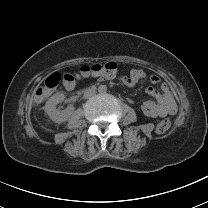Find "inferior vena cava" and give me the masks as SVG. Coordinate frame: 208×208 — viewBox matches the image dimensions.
I'll list each match as a JSON object with an SVG mask.
<instances>
[{"label": "inferior vena cava", "instance_id": "obj_1", "mask_svg": "<svg viewBox=\"0 0 208 208\" xmlns=\"http://www.w3.org/2000/svg\"><path fill=\"white\" fill-rule=\"evenodd\" d=\"M96 94V91L92 88H86L84 91H83V97L85 99H90L92 98L93 96H95Z\"/></svg>", "mask_w": 208, "mask_h": 208}]
</instances>
